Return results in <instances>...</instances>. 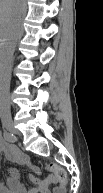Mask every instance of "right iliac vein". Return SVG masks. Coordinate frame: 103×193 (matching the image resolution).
I'll list each match as a JSON object with an SVG mask.
<instances>
[{
    "instance_id": "obj_1",
    "label": "right iliac vein",
    "mask_w": 103,
    "mask_h": 193,
    "mask_svg": "<svg viewBox=\"0 0 103 193\" xmlns=\"http://www.w3.org/2000/svg\"><path fill=\"white\" fill-rule=\"evenodd\" d=\"M3 125H4V127H5L9 132H11V133H13V134H18V131H17V129L15 128L13 122H11V121H5V122L3 123Z\"/></svg>"
}]
</instances>
